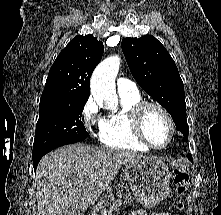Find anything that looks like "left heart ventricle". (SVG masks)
Masks as SVG:
<instances>
[{
    "mask_svg": "<svg viewBox=\"0 0 221 215\" xmlns=\"http://www.w3.org/2000/svg\"><path fill=\"white\" fill-rule=\"evenodd\" d=\"M144 132L156 146L164 145L170 134V127L164 115L155 108H149L144 116Z\"/></svg>",
    "mask_w": 221,
    "mask_h": 215,
    "instance_id": "1",
    "label": "left heart ventricle"
}]
</instances>
